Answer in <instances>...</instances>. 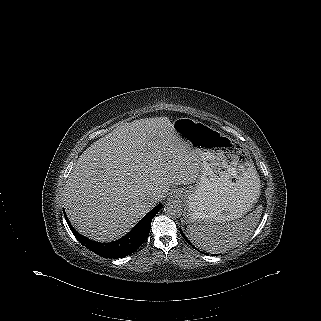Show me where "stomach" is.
Returning a JSON list of instances; mask_svg holds the SVG:
<instances>
[{
	"label": "stomach",
	"mask_w": 321,
	"mask_h": 321,
	"mask_svg": "<svg viewBox=\"0 0 321 321\" xmlns=\"http://www.w3.org/2000/svg\"><path fill=\"white\" fill-rule=\"evenodd\" d=\"M172 127L200 159L196 184L174 193L187 206V221L226 223L251 210L259 198L260 180L249 154L200 121L178 118Z\"/></svg>",
	"instance_id": "0dacf381"
}]
</instances>
